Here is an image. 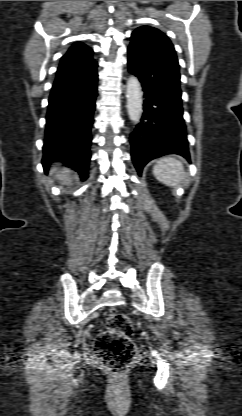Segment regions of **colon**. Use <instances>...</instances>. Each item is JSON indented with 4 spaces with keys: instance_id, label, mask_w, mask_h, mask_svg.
I'll return each mask as SVG.
<instances>
[{
    "instance_id": "colon-1",
    "label": "colon",
    "mask_w": 242,
    "mask_h": 416,
    "mask_svg": "<svg viewBox=\"0 0 242 416\" xmlns=\"http://www.w3.org/2000/svg\"><path fill=\"white\" fill-rule=\"evenodd\" d=\"M132 332L131 319L124 313L112 312L107 318L106 329L95 339L96 352L113 373L124 372L136 356Z\"/></svg>"
}]
</instances>
